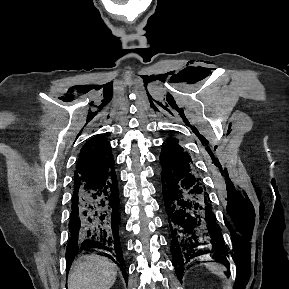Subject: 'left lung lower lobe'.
I'll use <instances>...</instances> for the list:
<instances>
[{
  "label": "left lung lower lobe",
  "mask_w": 289,
  "mask_h": 289,
  "mask_svg": "<svg viewBox=\"0 0 289 289\" xmlns=\"http://www.w3.org/2000/svg\"><path fill=\"white\" fill-rule=\"evenodd\" d=\"M161 188L171 231V253L179 280L190 259L215 251L226 253L221 229L202 178L181 153L161 151Z\"/></svg>",
  "instance_id": "obj_1"
}]
</instances>
